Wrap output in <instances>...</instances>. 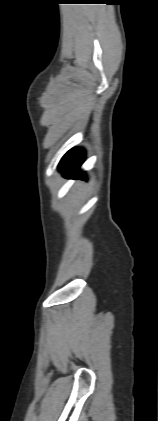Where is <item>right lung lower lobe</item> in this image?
Here are the masks:
<instances>
[{
    "instance_id": "98d812e1",
    "label": "right lung lower lobe",
    "mask_w": 158,
    "mask_h": 421,
    "mask_svg": "<svg viewBox=\"0 0 158 421\" xmlns=\"http://www.w3.org/2000/svg\"><path fill=\"white\" fill-rule=\"evenodd\" d=\"M85 159L83 149H71L62 158L59 164V170L67 178H83L84 174L79 170L80 165Z\"/></svg>"
}]
</instances>
